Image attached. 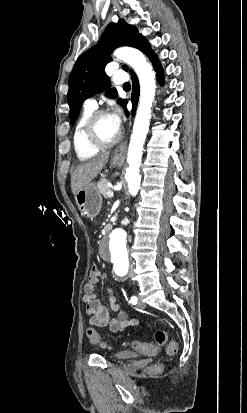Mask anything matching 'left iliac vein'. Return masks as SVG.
Returning a JSON list of instances; mask_svg holds the SVG:
<instances>
[{"mask_svg": "<svg viewBox=\"0 0 247 413\" xmlns=\"http://www.w3.org/2000/svg\"><path fill=\"white\" fill-rule=\"evenodd\" d=\"M138 298H139V301H138L137 307L138 308H144V303L142 302V300L139 296H138Z\"/></svg>", "mask_w": 247, "mask_h": 413, "instance_id": "4c4485c4", "label": "left iliac vein"}]
</instances>
